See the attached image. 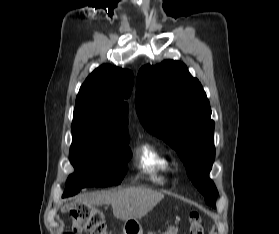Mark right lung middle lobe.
Here are the masks:
<instances>
[{
  "label": "right lung middle lobe",
  "instance_id": "right-lung-middle-lobe-1",
  "mask_svg": "<svg viewBox=\"0 0 279 234\" xmlns=\"http://www.w3.org/2000/svg\"><path fill=\"white\" fill-rule=\"evenodd\" d=\"M71 128L70 162L75 172L67 179L63 197L75 195L84 187L120 184L131 158L129 137H96L81 124H72Z\"/></svg>",
  "mask_w": 279,
  "mask_h": 234
}]
</instances>
